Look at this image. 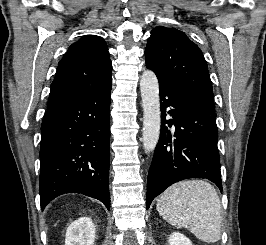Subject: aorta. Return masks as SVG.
I'll list each match as a JSON object with an SVG mask.
<instances>
[{"instance_id": "aorta-1", "label": "aorta", "mask_w": 266, "mask_h": 245, "mask_svg": "<svg viewBox=\"0 0 266 245\" xmlns=\"http://www.w3.org/2000/svg\"><path fill=\"white\" fill-rule=\"evenodd\" d=\"M140 90L143 104V147L145 153H152L159 141L161 127L159 82L153 70L142 72Z\"/></svg>"}]
</instances>
